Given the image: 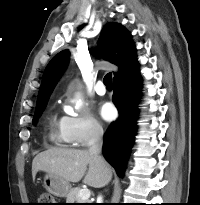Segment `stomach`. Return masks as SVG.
<instances>
[{"label": "stomach", "instance_id": "stomach-1", "mask_svg": "<svg viewBox=\"0 0 200 205\" xmlns=\"http://www.w3.org/2000/svg\"><path fill=\"white\" fill-rule=\"evenodd\" d=\"M43 183L46 190L57 197H66L71 190L70 183L55 174L47 173Z\"/></svg>", "mask_w": 200, "mask_h": 205}]
</instances>
